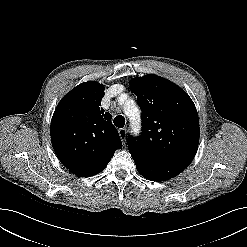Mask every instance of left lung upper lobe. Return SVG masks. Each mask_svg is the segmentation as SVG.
<instances>
[{"instance_id":"5c2ea615","label":"left lung upper lobe","mask_w":247,"mask_h":247,"mask_svg":"<svg viewBox=\"0 0 247 247\" xmlns=\"http://www.w3.org/2000/svg\"><path fill=\"white\" fill-rule=\"evenodd\" d=\"M142 110L140 137L128 138L131 155L185 169L199 143V118L189 95L165 78L149 74L130 81Z\"/></svg>"}]
</instances>
